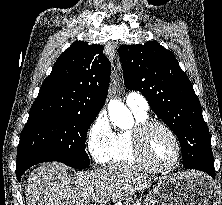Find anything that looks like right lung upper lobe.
I'll return each mask as SVG.
<instances>
[{
	"label": "right lung upper lobe",
	"instance_id": "1",
	"mask_svg": "<svg viewBox=\"0 0 222 205\" xmlns=\"http://www.w3.org/2000/svg\"><path fill=\"white\" fill-rule=\"evenodd\" d=\"M111 65L103 46L74 42L43 82L29 116L49 113L98 115L107 97Z\"/></svg>",
	"mask_w": 222,
	"mask_h": 205
}]
</instances>
